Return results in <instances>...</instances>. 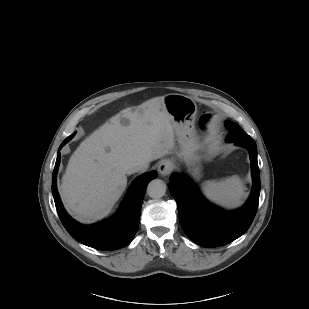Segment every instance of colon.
I'll return each instance as SVG.
<instances>
[{
    "label": "colon",
    "mask_w": 309,
    "mask_h": 309,
    "mask_svg": "<svg viewBox=\"0 0 309 309\" xmlns=\"http://www.w3.org/2000/svg\"><path fill=\"white\" fill-rule=\"evenodd\" d=\"M211 119L210 116L205 114L200 118L199 124L203 129H207L210 125Z\"/></svg>",
    "instance_id": "5ec220e1"
}]
</instances>
